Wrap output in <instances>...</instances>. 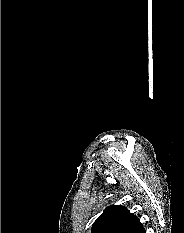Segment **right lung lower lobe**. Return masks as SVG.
I'll return each mask as SVG.
<instances>
[{
  "instance_id": "98d812e1",
  "label": "right lung lower lobe",
  "mask_w": 184,
  "mask_h": 233,
  "mask_svg": "<svg viewBox=\"0 0 184 233\" xmlns=\"http://www.w3.org/2000/svg\"><path fill=\"white\" fill-rule=\"evenodd\" d=\"M137 233H146V231H145L144 227L142 226V227L137 231Z\"/></svg>"
}]
</instances>
